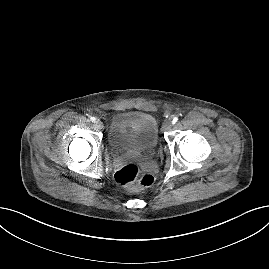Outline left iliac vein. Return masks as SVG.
<instances>
[{"instance_id":"left-iliac-vein-1","label":"left iliac vein","mask_w":269,"mask_h":269,"mask_svg":"<svg viewBox=\"0 0 269 269\" xmlns=\"http://www.w3.org/2000/svg\"><path fill=\"white\" fill-rule=\"evenodd\" d=\"M172 127V123L169 121L164 122L163 126H162V130L163 131H169Z\"/></svg>"}]
</instances>
